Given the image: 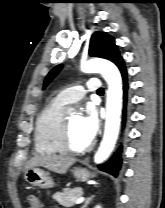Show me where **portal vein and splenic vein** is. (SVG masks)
<instances>
[{"label":"portal vein and splenic vein","instance_id":"18ae733b","mask_svg":"<svg viewBox=\"0 0 165 208\" xmlns=\"http://www.w3.org/2000/svg\"><path fill=\"white\" fill-rule=\"evenodd\" d=\"M84 200H85L84 197H78V198L75 200V203H76V204H80V203H82Z\"/></svg>","mask_w":165,"mask_h":208}]
</instances>
